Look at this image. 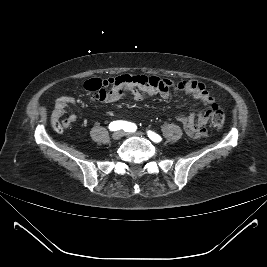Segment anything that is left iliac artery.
<instances>
[{
	"label": "left iliac artery",
	"mask_w": 267,
	"mask_h": 267,
	"mask_svg": "<svg viewBox=\"0 0 267 267\" xmlns=\"http://www.w3.org/2000/svg\"><path fill=\"white\" fill-rule=\"evenodd\" d=\"M147 133H148L149 138L154 142H160L162 140V138L158 134L152 131H148Z\"/></svg>",
	"instance_id": "obj_1"
}]
</instances>
